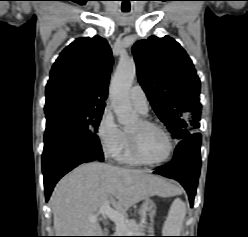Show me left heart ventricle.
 <instances>
[{
    "instance_id": "obj_1",
    "label": "left heart ventricle",
    "mask_w": 248,
    "mask_h": 237,
    "mask_svg": "<svg viewBox=\"0 0 248 237\" xmlns=\"http://www.w3.org/2000/svg\"><path fill=\"white\" fill-rule=\"evenodd\" d=\"M128 132L136 139L141 153L147 159L156 161L167 154V140L158 129L143 126L137 121Z\"/></svg>"
}]
</instances>
